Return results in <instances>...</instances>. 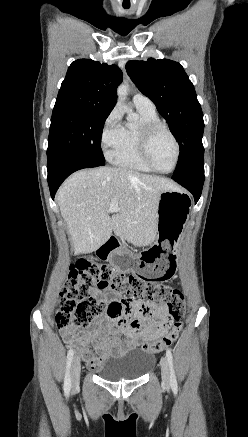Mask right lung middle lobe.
<instances>
[{"mask_svg":"<svg viewBox=\"0 0 248 437\" xmlns=\"http://www.w3.org/2000/svg\"><path fill=\"white\" fill-rule=\"evenodd\" d=\"M108 115L55 106L51 118L47 158L75 153L104 162L100 140Z\"/></svg>","mask_w":248,"mask_h":437,"instance_id":"right-lung-middle-lobe-1","label":"right lung middle lobe"}]
</instances>
